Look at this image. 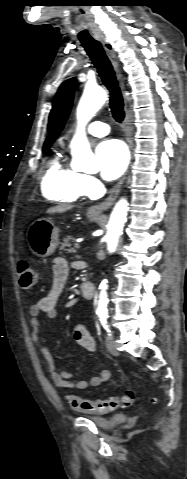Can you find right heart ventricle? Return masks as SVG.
Here are the masks:
<instances>
[{
	"label": "right heart ventricle",
	"instance_id": "right-heart-ventricle-1",
	"mask_svg": "<svg viewBox=\"0 0 187 479\" xmlns=\"http://www.w3.org/2000/svg\"><path fill=\"white\" fill-rule=\"evenodd\" d=\"M81 173L65 164L62 153L52 156L41 178L42 195L55 202L71 203L84 194Z\"/></svg>",
	"mask_w": 187,
	"mask_h": 479
}]
</instances>
